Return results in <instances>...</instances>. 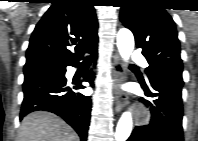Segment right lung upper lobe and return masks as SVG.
<instances>
[{
    "mask_svg": "<svg viewBox=\"0 0 198 141\" xmlns=\"http://www.w3.org/2000/svg\"><path fill=\"white\" fill-rule=\"evenodd\" d=\"M97 28L90 0H56L32 33L24 73L70 63L98 41Z\"/></svg>",
    "mask_w": 198,
    "mask_h": 141,
    "instance_id": "obj_1",
    "label": "right lung upper lobe"
}]
</instances>
